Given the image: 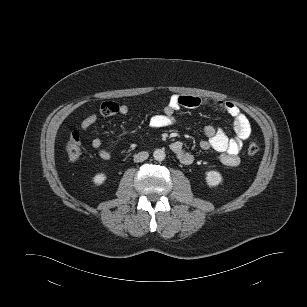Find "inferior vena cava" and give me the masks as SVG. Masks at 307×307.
I'll return each mask as SVG.
<instances>
[{
    "mask_svg": "<svg viewBox=\"0 0 307 307\" xmlns=\"http://www.w3.org/2000/svg\"><path fill=\"white\" fill-rule=\"evenodd\" d=\"M148 156L149 154L146 151L139 152L134 155V162L136 163L143 162L144 160L148 158Z\"/></svg>",
    "mask_w": 307,
    "mask_h": 307,
    "instance_id": "obj_1",
    "label": "inferior vena cava"
}]
</instances>
